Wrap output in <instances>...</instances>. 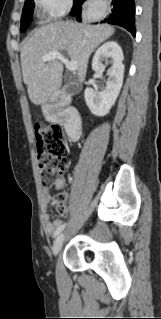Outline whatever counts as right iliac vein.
Instances as JSON below:
<instances>
[{"label":"right iliac vein","mask_w":161,"mask_h":319,"mask_svg":"<svg viewBox=\"0 0 161 319\" xmlns=\"http://www.w3.org/2000/svg\"><path fill=\"white\" fill-rule=\"evenodd\" d=\"M64 241H65V233H61L54 241V244L52 247V253L54 256H57L59 254V252L61 251L63 247Z\"/></svg>","instance_id":"63e3f726"}]
</instances>
